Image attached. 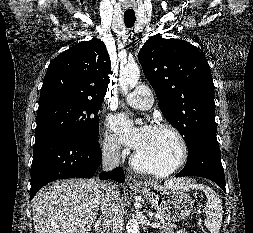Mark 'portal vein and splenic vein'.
<instances>
[{
  "instance_id": "1",
  "label": "portal vein and splenic vein",
  "mask_w": 253,
  "mask_h": 233,
  "mask_svg": "<svg viewBox=\"0 0 253 233\" xmlns=\"http://www.w3.org/2000/svg\"><path fill=\"white\" fill-rule=\"evenodd\" d=\"M151 226H152L153 228H159V227H160V224H159V223H156V222H153V223L151 224Z\"/></svg>"
}]
</instances>
